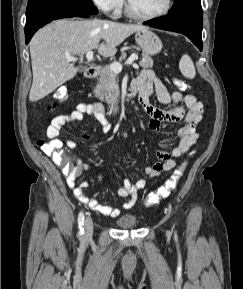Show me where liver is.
<instances>
[{"label":"liver","mask_w":243,"mask_h":289,"mask_svg":"<svg viewBox=\"0 0 243 289\" xmlns=\"http://www.w3.org/2000/svg\"><path fill=\"white\" fill-rule=\"evenodd\" d=\"M143 29L146 27L99 19H59L39 29L30 41V101L44 98L77 74L78 68L67 61V55H84L97 49L103 57H112L118 45Z\"/></svg>","instance_id":"6515ba94"}]
</instances>
